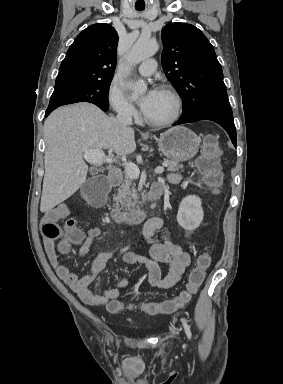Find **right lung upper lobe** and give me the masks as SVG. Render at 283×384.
Returning <instances> with one entry per match:
<instances>
[{
    "label": "right lung upper lobe",
    "instance_id": "obj_1",
    "mask_svg": "<svg viewBox=\"0 0 283 384\" xmlns=\"http://www.w3.org/2000/svg\"><path fill=\"white\" fill-rule=\"evenodd\" d=\"M117 44L118 35L111 25L98 23L87 27L69 47L55 86L112 79Z\"/></svg>",
    "mask_w": 283,
    "mask_h": 384
}]
</instances>
